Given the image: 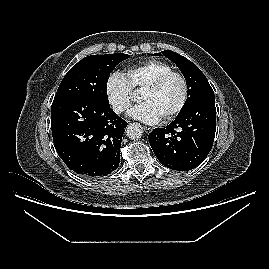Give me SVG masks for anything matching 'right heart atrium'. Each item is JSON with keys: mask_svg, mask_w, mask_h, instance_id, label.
I'll use <instances>...</instances> for the list:
<instances>
[{"mask_svg": "<svg viewBox=\"0 0 269 269\" xmlns=\"http://www.w3.org/2000/svg\"><path fill=\"white\" fill-rule=\"evenodd\" d=\"M105 95L109 106L117 114L125 113L133 102L132 88L126 76L117 71L107 77Z\"/></svg>", "mask_w": 269, "mask_h": 269, "instance_id": "d8ad5b80", "label": "right heart atrium"}]
</instances>
